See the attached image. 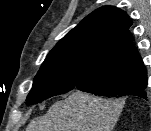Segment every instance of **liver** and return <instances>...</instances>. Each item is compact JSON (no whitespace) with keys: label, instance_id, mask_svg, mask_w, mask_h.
<instances>
[{"label":"liver","instance_id":"obj_1","mask_svg":"<svg viewBox=\"0 0 151 131\" xmlns=\"http://www.w3.org/2000/svg\"><path fill=\"white\" fill-rule=\"evenodd\" d=\"M122 108L119 100L76 91L33 119L26 131H112Z\"/></svg>","mask_w":151,"mask_h":131}]
</instances>
